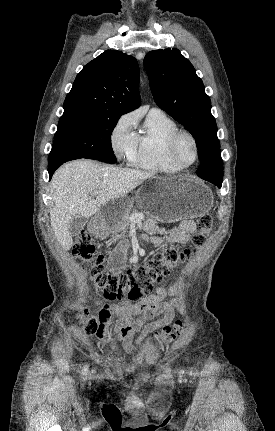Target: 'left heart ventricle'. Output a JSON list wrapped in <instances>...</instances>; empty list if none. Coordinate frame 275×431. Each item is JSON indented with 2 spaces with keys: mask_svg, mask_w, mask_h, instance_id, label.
I'll return each mask as SVG.
<instances>
[{
  "mask_svg": "<svg viewBox=\"0 0 275 431\" xmlns=\"http://www.w3.org/2000/svg\"><path fill=\"white\" fill-rule=\"evenodd\" d=\"M177 155L179 159L187 164L192 162L194 158V148L191 141L187 137H182L177 145Z\"/></svg>",
  "mask_w": 275,
  "mask_h": 431,
  "instance_id": "obj_1",
  "label": "left heart ventricle"
}]
</instances>
